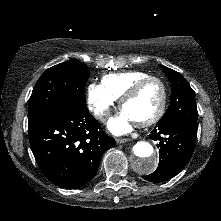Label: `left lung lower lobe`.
<instances>
[{
	"mask_svg": "<svg viewBox=\"0 0 221 221\" xmlns=\"http://www.w3.org/2000/svg\"><path fill=\"white\" fill-rule=\"evenodd\" d=\"M197 132L180 122H158L150 138L159 142V165L155 172L144 178L163 182L178 174L193 154Z\"/></svg>",
	"mask_w": 221,
	"mask_h": 221,
	"instance_id": "1",
	"label": "left lung lower lobe"
}]
</instances>
